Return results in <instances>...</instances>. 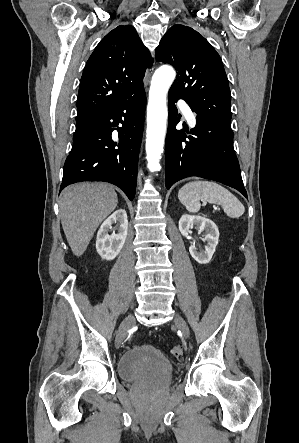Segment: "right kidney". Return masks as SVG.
Returning a JSON list of instances; mask_svg holds the SVG:
<instances>
[{"mask_svg": "<svg viewBox=\"0 0 299 443\" xmlns=\"http://www.w3.org/2000/svg\"><path fill=\"white\" fill-rule=\"evenodd\" d=\"M117 223L118 233L109 235L112 224ZM128 232L127 214L124 209L116 210L101 225L96 239V249L102 259L113 260L124 246Z\"/></svg>", "mask_w": 299, "mask_h": 443, "instance_id": "1", "label": "right kidney"}]
</instances>
